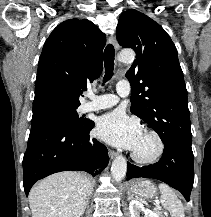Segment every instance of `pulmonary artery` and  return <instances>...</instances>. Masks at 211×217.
<instances>
[{"instance_id": "e3ab8cb5", "label": "pulmonary artery", "mask_w": 211, "mask_h": 217, "mask_svg": "<svg viewBox=\"0 0 211 217\" xmlns=\"http://www.w3.org/2000/svg\"><path fill=\"white\" fill-rule=\"evenodd\" d=\"M117 95L104 94L101 96H95L92 93H88L90 101L84 103L81 107L83 112L97 111L101 109L110 108L116 105L119 101V97H126L130 93V83L127 80H120L116 85Z\"/></svg>"}]
</instances>
